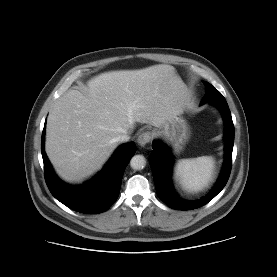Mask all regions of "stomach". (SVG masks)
I'll use <instances>...</instances> for the list:
<instances>
[{
  "label": "stomach",
  "mask_w": 277,
  "mask_h": 277,
  "mask_svg": "<svg viewBox=\"0 0 277 277\" xmlns=\"http://www.w3.org/2000/svg\"><path fill=\"white\" fill-rule=\"evenodd\" d=\"M156 133L163 134L176 153L182 151L189 138V128L180 113L169 117L163 129Z\"/></svg>",
  "instance_id": "1"
}]
</instances>
